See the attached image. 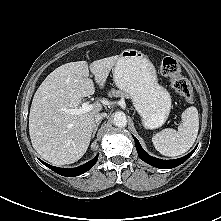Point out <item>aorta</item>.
<instances>
[{
  "label": "aorta",
  "mask_w": 221,
  "mask_h": 221,
  "mask_svg": "<svg viewBox=\"0 0 221 221\" xmlns=\"http://www.w3.org/2000/svg\"><path fill=\"white\" fill-rule=\"evenodd\" d=\"M113 123L117 127H125L127 125V118L125 113L116 112L113 117Z\"/></svg>",
  "instance_id": "1"
}]
</instances>
